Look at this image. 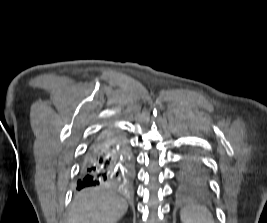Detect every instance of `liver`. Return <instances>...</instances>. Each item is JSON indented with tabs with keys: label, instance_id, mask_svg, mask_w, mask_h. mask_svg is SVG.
<instances>
[{
	"label": "liver",
	"instance_id": "6515ba94",
	"mask_svg": "<svg viewBox=\"0 0 267 223\" xmlns=\"http://www.w3.org/2000/svg\"><path fill=\"white\" fill-rule=\"evenodd\" d=\"M127 209V202L113 192L89 188L74 198L68 223H116Z\"/></svg>",
	"mask_w": 267,
	"mask_h": 223
}]
</instances>
